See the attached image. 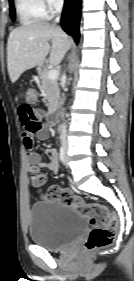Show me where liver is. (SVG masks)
Instances as JSON below:
<instances>
[{
    "instance_id": "6515ba94",
    "label": "liver",
    "mask_w": 134,
    "mask_h": 281,
    "mask_svg": "<svg viewBox=\"0 0 134 281\" xmlns=\"http://www.w3.org/2000/svg\"><path fill=\"white\" fill-rule=\"evenodd\" d=\"M70 44V38L60 27L47 22H32L17 27L11 31L7 43L10 80L14 83L24 71L42 66L49 52V63L58 65Z\"/></svg>"
}]
</instances>
